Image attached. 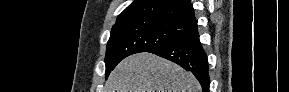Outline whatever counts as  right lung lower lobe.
<instances>
[{
    "label": "right lung lower lobe",
    "mask_w": 289,
    "mask_h": 92,
    "mask_svg": "<svg viewBox=\"0 0 289 92\" xmlns=\"http://www.w3.org/2000/svg\"><path fill=\"white\" fill-rule=\"evenodd\" d=\"M148 52L166 58L185 70L191 71L201 84L203 92L209 91L207 55L199 40L197 21L183 36Z\"/></svg>",
    "instance_id": "1"
}]
</instances>
